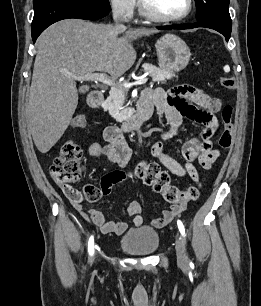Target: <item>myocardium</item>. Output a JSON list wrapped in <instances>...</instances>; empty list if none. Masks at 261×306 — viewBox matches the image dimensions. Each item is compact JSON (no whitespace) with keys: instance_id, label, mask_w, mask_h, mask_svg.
I'll use <instances>...</instances> for the list:
<instances>
[{"instance_id":"myocardium-1","label":"myocardium","mask_w":261,"mask_h":306,"mask_svg":"<svg viewBox=\"0 0 261 306\" xmlns=\"http://www.w3.org/2000/svg\"><path fill=\"white\" fill-rule=\"evenodd\" d=\"M138 5L141 13L149 19L160 22H177L187 18L194 7V0H187L186 10L177 16H164L156 11L147 0H138Z\"/></svg>"}]
</instances>
